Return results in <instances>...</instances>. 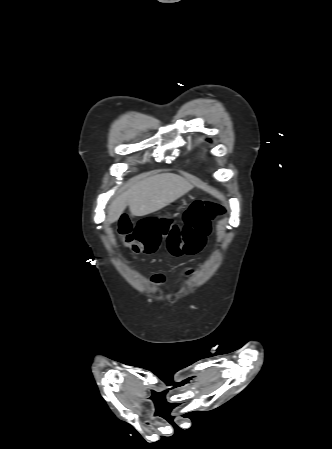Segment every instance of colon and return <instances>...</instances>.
<instances>
[{
    "instance_id": "1",
    "label": "colon",
    "mask_w": 332,
    "mask_h": 449,
    "mask_svg": "<svg viewBox=\"0 0 332 449\" xmlns=\"http://www.w3.org/2000/svg\"><path fill=\"white\" fill-rule=\"evenodd\" d=\"M224 208L209 200L195 201L184 214V225L172 224L170 219H143L135 226L122 220L116 227L118 237L135 253H154L162 242L173 257L194 255L210 232V221L219 217Z\"/></svg>"
}]
</instances>
